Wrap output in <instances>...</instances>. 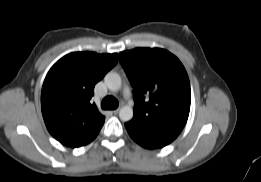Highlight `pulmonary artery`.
<instances>
[{
    "instance_id": "obj_1",
    "label": "pulmonary artery",
    "mask_w": 261,
    "mask_h": 182,
    "mask_svg": "<svg viewBox=\"0 0 261 182\" xmlns=\"http://www.w3.org/2000/svg\"><path fill=\"white\" fill-rule=\"evenodd\" d=\"M124 96L128 99H131V91L129 87L125 86L123 89Z\"/></svg>"
}]
</instances>
